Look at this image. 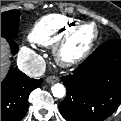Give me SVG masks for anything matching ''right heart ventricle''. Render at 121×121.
<instances>
[{
  "instance_id": "obj_1",
  "label": "right heart ventricle",
  "mask_w": 121,
  "mask_h": 121,
  "mask_svg": "<svg viewBox=\"0 0 121 121\" xmlns=\"http://www.w3.org/2000/svg\"><path fill=\"white\" fill-rule=\"evenodd\" d=\"M79 20L60 14H49L39 19L30 32V40L38 45L52 46Z\"/></svg>"
}]
</instances>
